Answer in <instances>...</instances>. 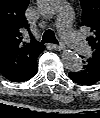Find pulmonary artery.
<instances>
[{
	"label": "pulmonary artery",
	"instance_id": "e3ab8cb5",
	"mask_svg": "<svg viewBox=\"0 0 100 118\" xmlns=\"http://www.w3.org/2000/svg\"><path fill=\"white\" fill-rule=\"evenodd\" d=\"M72 10L63 7L59 12L58 30L62 38L78 53L88 55L91 52L89 44L72 27Z\"/></svg>",
	"mask_w": 100,
	"mask_h": 118
}]
</instances>
